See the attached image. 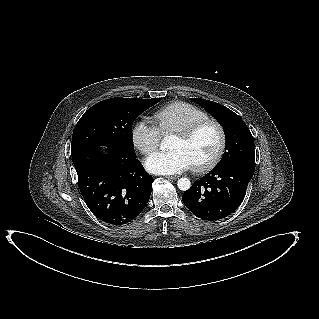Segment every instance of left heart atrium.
<instances>
[{
	"label": "left heart atrium",
	"mask_w": 319,
	"mask_h": 319,
	"mask_svg": "<svg viewBox=\"0 0 319 319\" xmlns=\"http://www.w3.org/2000/svg\"><path fill=\"white\" fill-rule=\"evenodd\" d=\"M144 164L149 172L161 175L177 174L192 166L189 157L180 149L155 152L146 158Z\"/></svg>",
	"instance_id": "left-heart-atrium-1"
}]
</instances>
